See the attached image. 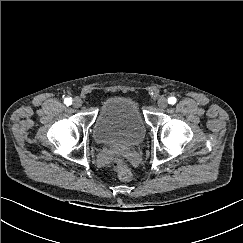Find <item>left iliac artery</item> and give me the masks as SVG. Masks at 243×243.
<instances>
[{
  "mask_svg": "<svg viewBox=\"0 0 243 243\" xmlns=\"http://www.w3.org/2000/svg\"><path fill=\"white\" fill-rule=\"evenodd\" d=\"M168 103L171 104V105L175 104L176 103V98L175 97H169L168 98Z\"/></svg>",
  "mask_w": 243,
  "mask_h": 243,
  "instance_id": "obj_1",
  "label": "left iliac artery"
}]
</instances>
